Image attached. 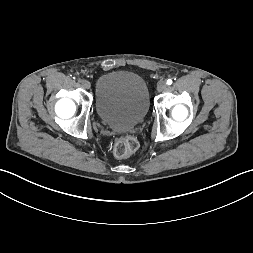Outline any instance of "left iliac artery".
<instances>
[{
	"label": "left iliac artery",
	"mask_w": 253,
	"mask_h": 253,
	"mask_svg": "<svg viewBox=\"0 0 253 253\" xmlns=\"http://www.w3.org/2000/svg\"><path fill=\"white\" fill-rule=\"evenodd\" d=\"M167 84H168V85H171V84H172V80H171V79H168V80H167Z\"/></svg>",
	"instance_id": "44dca946"
}]
</instances>
